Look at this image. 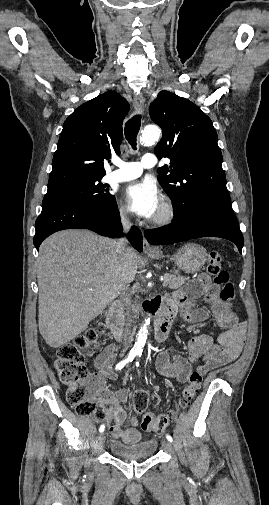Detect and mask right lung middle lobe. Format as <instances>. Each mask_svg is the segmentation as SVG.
I'll use <instances>...</instances> for the list:
<instances>
[{
	"label": "right lung middle lobe",
	"mask_w": 269,
	"mask_h": 505,
	"mask_svg": "<svg viewBox=\"0 0 269 505\" xmlns=\"http://www.w3.org/2000/svg\"><path fill=\"white\" fill-rule=\"evenodd\" d=\"M101 179L86 180L48 189L43 199V205L61 200H74L100 210L105 209L115 202V196L109 193V186L101 183Z\"/></svg>",
	"instance_id": "dd1d6c3e"
}]
</instances>
